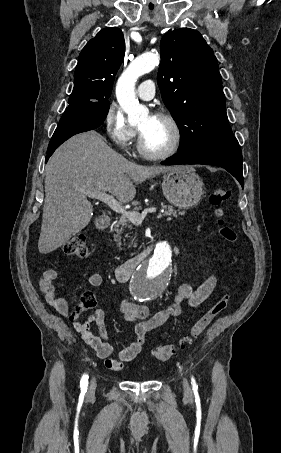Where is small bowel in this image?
Instances as JSON below:
<instances>
[{"label": "small bowel", "instance_id": "small-bowel-1", "mask_svg": "<svg viewBox=\"0 0 281 453\" xmlns=\"http://www.w3.org/2000/svg\"><path fill=\"white\" fill-rule=\"evenodd\" d=\"M59 277V271L49 268L42 272L39 278V287L45 301L63 316L69 313L67 300L58 297L55 292L54 280ZM88 282L95 287L102 284V276L98 272H91L88 275ZM217 279L214 275H208L203 284L196 290L189 285H182L174 297L173 303L167 309L160 311L152 317L148 316L147 309L132 300L123 299L120 302V310L124 318L134 325L135 339L126 348L120 351L118 356H112V346L107 342L106 317L101 309L93 312V319L98 331L95 335L89 331L90 321L84 323L74 322V327L81 335L82 341L96 351L99 359L105 360L110 371L120 370L126 363L133 361L146 342L148 332L163 325L169 318L178 316L182 305L197 307L204 302L216 287Z\"/></svg>", "mask_w": 281, "mask_h": 453}]
</instances>
